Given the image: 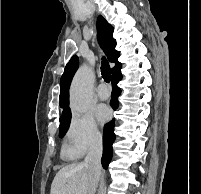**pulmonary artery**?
Returning a JSON list of instances; mask_svg holds the SVG:
<instances>
[{
  "label": "pulmonary artery",
  "instance_id": "e3ab8cb5",
  "mask_svg": "<svg viewBox=\"0 0 201 194\" xmlns=\"http://www.w3.org/2000/svg\"><path fill=\"white\" fill-rule=\"evenodd\" d=\"M97 95L101 100H107L109 98V90L105 84H100L97 89Z\"/></svg>",
  "mask_w": 201,
  "mask_h": 194
}]
</instances>
